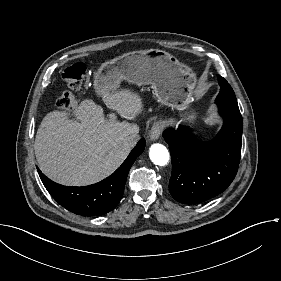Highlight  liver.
Segmentation results:
<instances>
[{"mask_svg":"<svg viewBox=\"0 0 281 281\" xmlns=\"http://www.w3.org/2000/svg\"><path fill=\"white\" fill-rule=\"evenodd\" d=\"M109 109L130 117L140 109V99L131 92L104 96ZM76 113L82 123L53 111L42 119L35 136L34 151L40 170L65 186L95 184L112 174L127 158L135 143H125L123 134L138 135L131 122H109L104 109L92 101L81 103Z\"/></svg>","mask_w":281,"mask_h":281,"instance_id":"6515ba94","label":"liver"}]
</instances>
